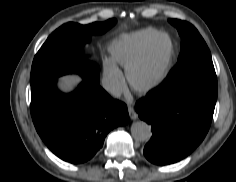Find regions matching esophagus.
I'll return each instance as SVG.
<instances>
[{"mask_svg": "<svg viewBox=\"0 0 236 182\" xmlns=\"http://www.w3.org/2000/svg\"><path fill=\"white\" fill-rule=\"evenodd\" d=\"M128 113L132 120H136L138 118V114L132 106H128Z\"/></svg>", "mask_w": 236, "mask_h": 182, "instance_id": "1", "label": "esophagus"}]
</instances>
